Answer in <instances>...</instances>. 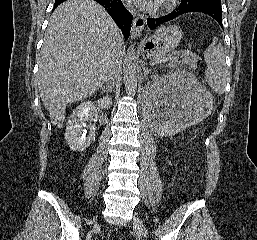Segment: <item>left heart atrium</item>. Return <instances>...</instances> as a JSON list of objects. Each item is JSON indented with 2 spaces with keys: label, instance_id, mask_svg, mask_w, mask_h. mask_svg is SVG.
<instances>
[{
  "label": "left heart atrium",
  "instance_id": "left-heart-atrium-1",
  "mask_svg": "<svg viewBox=\"0 0 257 240\" xmlns=\"http://www.w3.org/2000/svg\"><path fill=\"white\" fill-rule=\"evenodd\" d=\"M128 1L143 10H153L161 3L162 0H128Z\"/></svg>",
  "mask_w": 257,
  "mask_h": 240
}]
</instances>
